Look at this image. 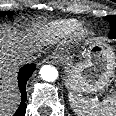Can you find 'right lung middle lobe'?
I'll return each mask as SVG.
<instances>
[{
	"label": "right lung middle lobe",
	"mask_w": 116,
	"mask_h": 116,
	"mask_svg": "<svg viewBox=\"0 0 116 116\" xmlns=\"http://www.w3.org/2000/svg\"><path fill=\"white\" fill-rule=\"evenodd\" d=\"M13 14V12H5V11H0V17L1 16H5V15H12Z\"/></svg>",
	"instance_id": "dd1d6c3e"
}]
</instances>
